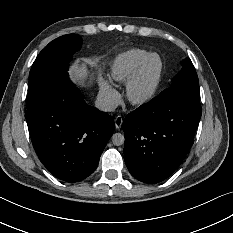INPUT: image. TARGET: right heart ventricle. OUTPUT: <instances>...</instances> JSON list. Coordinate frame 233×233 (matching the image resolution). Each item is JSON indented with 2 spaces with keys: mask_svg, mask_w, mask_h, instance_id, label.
I'll return each instance as SVG.
<instances>
[{
  "mask_svg": "<svg viewBox=\"0 0 233 233\" xmlns=\"http://www.w3.org/2000/svg\"><path fill=\"white\" fill-rule=\"evenodd\" d=\"M150 54L151 52L145 49H130L118 54L110 65V79L126 84Z\"/></svg>",
  "mask_w": 233,
  "mask_h": 233,
  "instance_id": "right-heart-ventricle-1",
  "label": "right heart ventricle"
}]
</instances>
